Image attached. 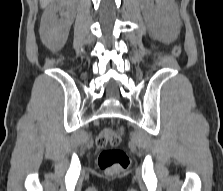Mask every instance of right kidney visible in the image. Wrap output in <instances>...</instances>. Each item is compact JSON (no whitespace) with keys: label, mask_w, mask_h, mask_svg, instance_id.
<instances>
[{"label":"right kidney","mask_w":223,"mask_h":191,"mask_svg":"<svg viewBox=\"0 0 223 191\" xmlns=\"http://www.w3.org/2000/svg\"><path fill=\"white\" fill-rule=\"evenodd\" d=\"M75 3L76 0H55L45 10L41 19L40 35L48 48L56 50L65 44L74 20Z\"/></svg>","instance_id":"obj_1"}]
</instances>
